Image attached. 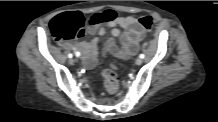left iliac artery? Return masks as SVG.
<instances>
[{
	"mask_svg": "<svg viewBox=\"0 0 218 122\" xmlns=\"http://www.w3.org/2000/svg\"><path fill=\"white\" fill-rule=\"evenodd\" d=\"M145 57L144 54H140V58L143 59Z\"/></svg>",
	"mask_w": 218,
	"mask_h": 122,
	"instance_id": "44dca946",
	"label": "left iliac artery"
}]
</instances>
